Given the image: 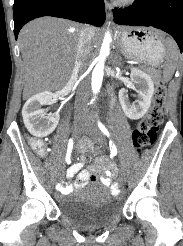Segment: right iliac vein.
<instances>
[{
  "mask_svg": "<svg viewBox=\"0 0 183 246\" xmlns=\"http://www.w3.org/2000/svg\"><path fill=\"white\" fill-rule=\"evenodd\" d=\"M83 130V124L81 122H75L73 126V137L77 139Z\"/></svg>",
  "mask_w": 183,
  "mask_h": 246,
  "instance_id": "obj_1",
  "label": "right iliac vein"
}]
</instances>
